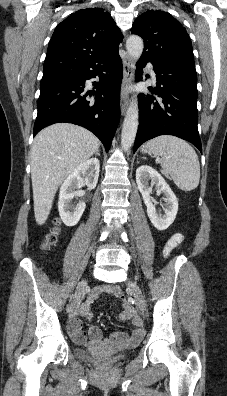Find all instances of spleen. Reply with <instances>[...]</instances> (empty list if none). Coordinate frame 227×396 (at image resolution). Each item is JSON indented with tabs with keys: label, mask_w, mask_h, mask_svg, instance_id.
<instances>
[{
	"label": "spleen",
	"mask_w": 227,
	"mask_h": 396,
	"mask_svg": "<svg viewBox=\"0 0 227 396\" xmlns=\"http://www.w3.org/2000/svg\"><path fill=\"white\" fill-rule=\"evenodd\" d=\"M147 145L181 190L191 191L198 186L200 164L195 150L187 142L175 136L163 135L150 140Z\"/></svg>",
	"instance_id": "obj_1"
}]
</instances>
